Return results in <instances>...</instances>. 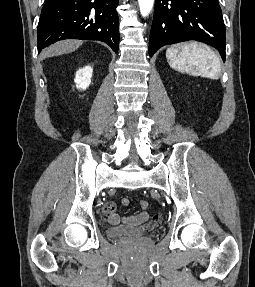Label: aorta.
<instances>
[{
    "label": "aorta",
    "instance_id": "762f6f07",
    "mask_svg": "<svg viewBox=\"0 0 255 287\" xmlns=\"http://www.w3.org/2000/svg\"><path fill=\"white\" fill-rule=\"evenodd\" d=\"M142 16H147L152 10L154 0H138Z\"/></svg>",
    "mask_w": 255,
    "mask_h": 287
}]
</instances>
